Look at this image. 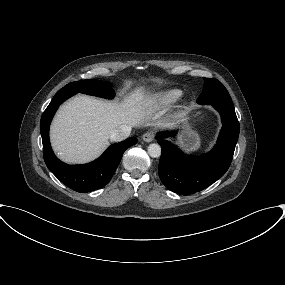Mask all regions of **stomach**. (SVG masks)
<instances>
[{"instance_id": "1", "label": "stomach", "mask_w": 285, "mask_h": 285, "mask_svg": "<svg viewBox=\"0 0 285 285\" xmlns=\"http://www.w3.org/2000/svg\"><path fill=\"white\" fill-rule=\"evenodd\" d=\"M178 143L186 151H195L200 147V138L195 130L186 126L178 137Z\"/></svg>"}]
</instances>
